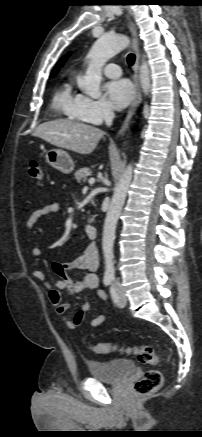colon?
I'll return each mask as SVG.
<instances>
[{
  "instance_id": "5ec220e1",
  "label": "colon",
  "mask_w": 202,
  "mask_h": 437,
  "mask_svg": "<svg viewBox=\"0 0 202 437\" xmlns=\"http://www.w3.org/2000/svg\"><path fill=\"white\" fill-rule=\"evenodd\" d=\"M29 176L35 180L43 179V166L38 160H32L29 164ZM97 354H108L113 351L124 352L133 355L139 363L155 365L158 363V356L149 345L119 346L110 342L97 343L91 346ZM163 383V375L159 370H148L144 376L134 385V395L144 396L158 390Z\"/></svg>"
}]
</instances>
